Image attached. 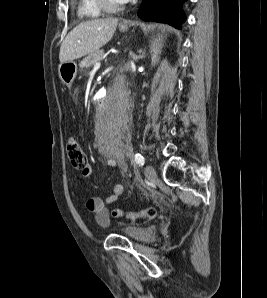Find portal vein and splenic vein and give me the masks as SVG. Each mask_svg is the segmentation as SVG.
<instances>
[{"mask_svg":"<svg viewBox=\"0 0 267 298\" xmlns=\"http://www.w3.org/2000/svg\"><path fill=\"white\" fill-rule=\"evenodd\" d=\"M101 66V63L98 61L94 64V69H99Z\"/></svg>","mask_w":267,"mask_h":298,"instance_id":"obj_1","label":"portal vein and splenic vein"}]
</instances>
